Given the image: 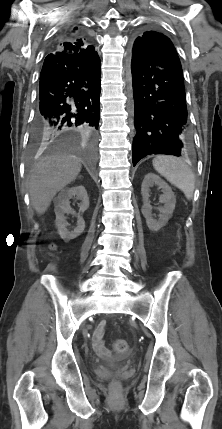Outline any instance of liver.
I'll use <instances>...</instances> for the list:
<instances>
[{
  "label": "liver",
  "instance_id": "1",
  "mask_svg": "<svg viewBox=\"0 0 222 429\" xmlns=\"http://www.w3.org/2000/svg\"><path fill=\"white\" fill-rule=\"evenodd\" d=\"M81 161L74 155L58 153L42 158L28 179L30 200L38 214H44L58 191L72 182L81 171Z\"/></svg>",
  "mask_w": 222,
  "mask_h": 429
}]
</instances>
